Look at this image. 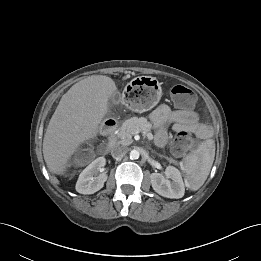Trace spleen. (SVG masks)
<instances>
[{"mask_svg": "<svg viewBox=\"0 0 261 261\" xmlns=\"http://www.w3.org/2000/svg\"><path fill=\"white\" fill-rule=\"evenodd\" d=\"M215 157V143L212 139L202 142L198 149L184 159L185 184L193 191L206 181Z\"/></svg>", "mask_w": 261, "mask_h": 261, "instance_id": "obj_1", "label": "spleen"}]
</instances>
